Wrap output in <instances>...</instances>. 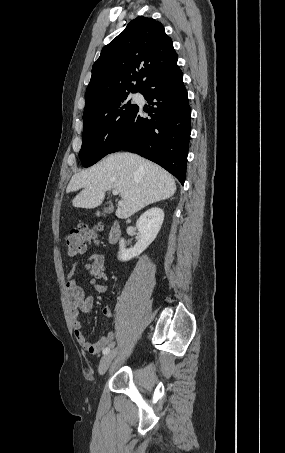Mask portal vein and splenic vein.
Wrapping results in <instances>:
<instances>
[{"label":"portal vein and splenic vein","instance_id":"18ae733b","mask_svg":"<svg viewBox=\"0 0 285 453\" xmlns=\"http://www.w3.org/2000/svg\"><path fill=\"white\" fill-rule=\"evenodd\" d=\"M112 193H113V195H118V194H119V191H118L117 189H114ZM120 204H121V203H120Z\"/></svg>","mask_w":285,"mask_h":453}]
</instances>
